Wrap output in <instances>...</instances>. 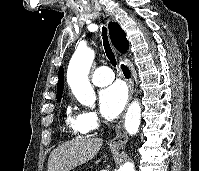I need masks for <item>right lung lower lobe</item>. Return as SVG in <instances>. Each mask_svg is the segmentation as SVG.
Masks as SVG:
<instances>
[{
	"label": "right lung lower lobe",
	"instance_id": "98d812e1",
	"mask_svg": "<svg viewBox=\"0 0 199 171\" xmlns=\"http://www.w3.org/2000/svg\"><path fill=\"white\" fill-rule=\"evenodd\" d=\"M122 70H123L125 76L127 78H129L130 77V72H129L128 68L126 66L122 65Z\"/></svg>",
	"mask_w": 199,
	"mask_h": 171
}]
</instances>
